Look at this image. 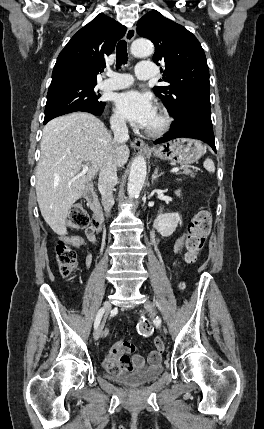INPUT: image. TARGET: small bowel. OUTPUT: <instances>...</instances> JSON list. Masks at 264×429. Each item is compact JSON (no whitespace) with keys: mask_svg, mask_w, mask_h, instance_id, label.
I'll list each match as a JSON object with an SVG mask.
<instances>
[{"mask_svg":"<svg viewBox=\"0 0 264 429\" xmlns=\"http://www.w3.org/2000/svg\"><path fill=\"white\" fill-rule=\"evenodd\" d=\"M100 232V224L97 221H93L91 225L86 229V239L81 236H72L65 238V241L74 246L82 247L87 250L86 252V267L89 268L92 263V253L88 249V242L95 244L97 242L98 233ZM186 235L179 237L175 244L174 250L179 252L184 244ZM135 351V346L126 341H119L115 343L109 351V359L118 363L123 371L129 372L134 369H142L146 365H155L161 360L162 350H152L148 353L147 357L144 358L139 354H133L131 357L130 353Z\"/></svg>","mask_w":264,"mask_h":429,"instance_id":"small-bowel-1","label":"small bowel"}]
</instances>
